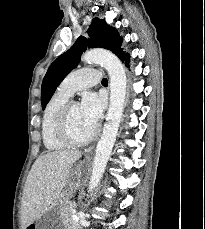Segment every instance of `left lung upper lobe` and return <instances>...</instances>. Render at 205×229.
Wrapping results in <instances>:
<instances>
[{"instance_id": "1", "label": "left lung upper lobe", "mask_w": 205, "mask_h": 229, "mask_svg": "<svg viewBox=\"0 0 205 229\" xmlns=\"http://www.w3.org/2000/svg\"><path fill=\"white\" fill-rule=\"evenodd\" d=\"M90 38L80 36L75 44L60 55L48 68L41 86V104L44 109L62 80L78 65L87 47H100L118 55L122 49V38L117 30L106 24L105 20L94 18L87 30Z\"/></svg>"}]
</instances>
